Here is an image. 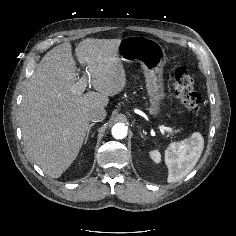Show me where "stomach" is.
Masks as SVG:
<instances>
[{"instance_id": "stomach-1", "label": "stomach", "mask_w": 236, "mask_h": 236, "mask_svg": "<svg viewBox=\"0 0 236 236\" xmlns=\"http://www.w3.org/2000/svg\"><path fill=\"white\" fill-rule=\"evenodd\" d=\"M118 55L121 61H136L141 64L149 96L147 110L156 118L166 96L163 67L167 58L164 48L154 39L145 36H129L120 40Z\"/></svg>"}]
</instances>
